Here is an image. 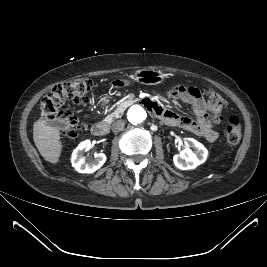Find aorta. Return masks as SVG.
Segmentation results:
<instances>
[{"instance_id": "obj_1", "label": "aorta", "mask_w": 267, "mask_h": 267, "mask_svg": "<svg viewBox=\"0 0 267 267\" xmlns=\"http://www.w3.org/2000/svg\"><path fill=\"white\" fill-rule=\"evenodd\" d=\"M127 118L132 124L137 125L145 121L147 113L143 107L134 105L129 109Z\"/></svg>"}]
</instances>
